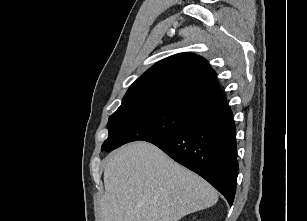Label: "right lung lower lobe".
Wrapping results in <instances>:
<instances>
[{"instance_id": "1", "label": "right lung lower lobe", "mask_w": 307, "mask_h": 221, "mask_svg": "<svg viewBox=\"0 0 307 221\" xmlns=\"http://www.w3.org/2000/svg\"><path fill=\"white\" fill-rule=\"evenodd\" d=\"M236 127L225 103L172 134L148 142L213 185L232 205L237 184Z\"/></svg>"}]
</instances>
